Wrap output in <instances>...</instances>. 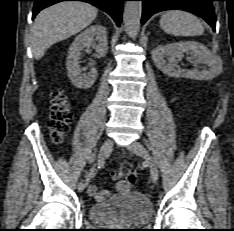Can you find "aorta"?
Returning <instances> with one entry per match:
<instances>
[{"label": "aorta", "instance_id": "1", "mask_svg": "<svg viewBox=\"0 0 234 231\" xmlns=\"http://www.w3.org/2000/svg\"><path fill=\"white\" fill-rule=\"evenodd\" d=\"M142 15L141 1H127L124 7L123 22L129 35H136L140 28Z\"/></svg>", "mask_w": 234, "mask_h": 231}]
</instances>
